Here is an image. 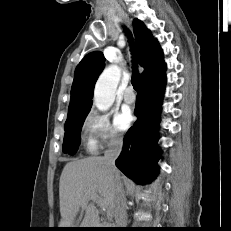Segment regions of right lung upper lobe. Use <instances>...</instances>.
I'll use <instances>...</instances> for the list:
<instances>
[{
    "label": "right lung upper lobe",
    "mask_w": 231,
    "mask_h": 231,
    "mask_svg": "<svg viewBox=\"0 0 231 231\" xmlns=\"http://www.w3.org/2000/svg\"><path fill=\"white\" fill-rule=\"evenodd\" d=\"M138 62L144 68L141 83L150 80L165 71L162 50L150 31L138 19L133 21ZM104 56L101 51L87 54L75 69L71 87V99L68 115L90 110L92 95L98 75L104 67Z\"/></svg>",
    "instance_id": "obj_1"
}]
</instances>
